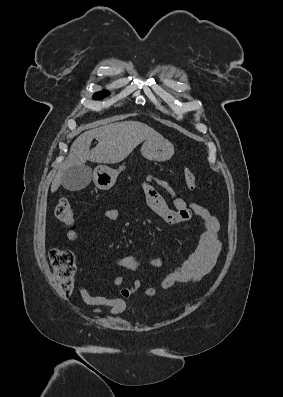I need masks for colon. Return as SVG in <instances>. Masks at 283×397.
<instances>
[{"label": "colon", "instance_id": "5ec220e1", "mask_svg": "<svg viewBox=\"0 0 283 397\" xmlns=\"http://www.w3.org/2000/svg\"><path fill=\"white\" fill-rule=\"evenodd\" d=\"M184 179L189 190L197 189L196 176L188 167L184 169ZM54 216L67 225L74 222V210L65 199L60 200L55 206ZM49 258L61 293L66 296L70 295L75 285L76 266L73 253L66 249H53L49 253Z\"/></svg>", "mask_w": 283, "mask_h": 397}]
</instances>
